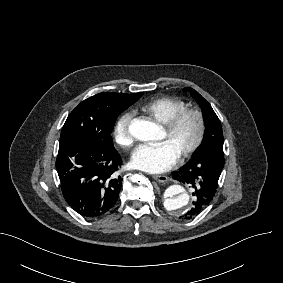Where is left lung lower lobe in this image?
<instances>
[{
	"label": "left lung lower lobe",
	"instance_id": "left-lung-lower-lobe-1",
	"mask_svg": "<svg viewBox=\"0 0 283 283\" xmlns=\"http://www.w3.org/2000/svg\"><path fill=\"white\" fill-rule=\"evenodd\" d=\"M224 161L223 145H208L194 154L193 159L183 168L173 173L174 179L194 188L193 207L185 214V219L198 215L212 201Z\"/></svg>",
	"mask_w": 283,
	"mask_h": 283
}]
</instances>
